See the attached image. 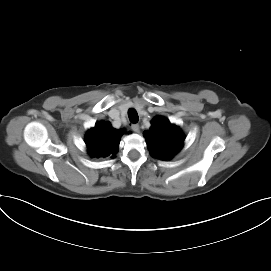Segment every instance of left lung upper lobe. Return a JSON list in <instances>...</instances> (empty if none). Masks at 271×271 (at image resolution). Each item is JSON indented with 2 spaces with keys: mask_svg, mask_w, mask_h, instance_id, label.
<instances>
[{
  "mask_svg": "<svg viewBox=\"0 0 271 271\" xmlns=\"http://www.w3.org/2000/svg\"><path fill=\"white\" fill-rule=\"evenodd\" d=\"M144 137L151 155L161 160L171 159L178 153L185 139L182 131L164 117L154 118Z\"/></svg>",
  "mask_w": 271,
  "mask_h": 271,
  "instance_id": "1",
  "label": "left lung upper lobe"
}]
</instances>
